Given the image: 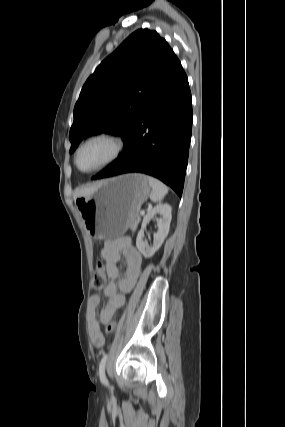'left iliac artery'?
Listing matches in <instances>:
<instances>
[{"instance_id": "left-iliac-artery-1", "label": "left iliac artery", "mask_w": 285, "mask_h": 427, "mask_svg": "<svg viewBox=\"0 0 285 427\" xmlns=\"http://www.w3.org/2000/svg\"><path fill=\"white\" fill-rule=\"evenodd\" d=\"M107 358H108V354H105L99 365V378H100V381L104 384L108 383V380L105 375V366H106Z\"/></svg>"}]
</instances>
